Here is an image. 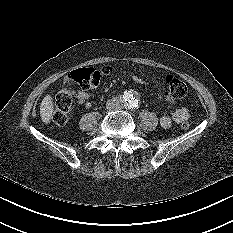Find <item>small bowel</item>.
Returning a JSON list of instances; mask_svg holds the SVG:
<instances>
[{"label":"small bowel","mask_w":233,"mask_h":233,"mask_svg":"<svg viewBox=\"0 0 233 233\" xmlns=\"http://www.w3.org/2000/svg\"><path fill=\"white\" fill-rule=\"evenodd\" d=\"M73 96L76 99L78 106H83L85 108H90L94 101V96L92 93L84 90H74L72 91ZM167 100L172 102L171 98L167 96ZM190 118V112L186 107L177 108L170 116L164 115L160 118V126L164 129L170 128L173 124H181Z\"/></svg>","instance_id":"obj_1"}]
</instances>
